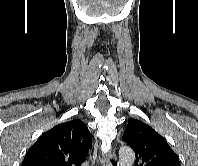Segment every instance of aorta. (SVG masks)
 Wrapping results in <instances>:
<instances>
[{"label": "aorta", "instance_id": "762f6f07", "mask_svg": "<svg viewBox=\"0 0 198 166\" xmlns=\"http://www.w3.org/2000/svg\"><path fill=\"white\" fill-rule=\"evenodd\" d=\"M120 166H132L135 161L134 151L127 146L120 148L119 150Z\"/></svg>", "mask_w": 198, "mask_h": 166}]
</instances>
